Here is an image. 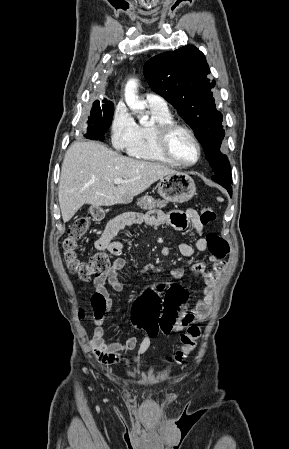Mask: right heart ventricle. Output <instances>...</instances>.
Instances as JSON below:
<instances>
[{"instance_id":"1","label":"right heart ventricle","mask_w":289,"mask_h":449,"mask_svg":"<svg viewBox=\"0 0 289 449\" xmlns=\"http://www.w3.org/2000/svg\"><path fill=\"white\" fill-rule=\"evenodd\" d=\"M150 113L152 116L151 123L138 125L137 140L129 150V153L136 158L175 165L161 153L155 132L157 125L173 122V116L168 108L157 109L150 107Z\"/></svg>"}]
</instances>
